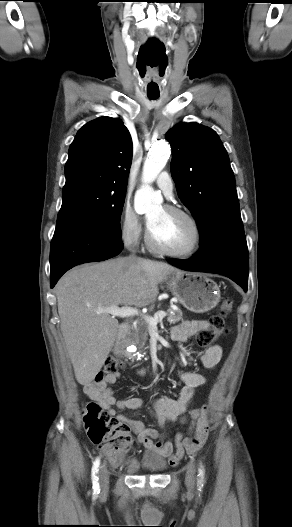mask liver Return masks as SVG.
Wrapping results in <instances>:
<instances>
[{
    "label": "liver",
    "instance_id": "6515ba94",
    "mask_svg": "<svg viewBox=\"0 0 292 527\" xmlns=\"http://www.w3.org/2000/svg\"><path fill=\"white\" fill-rule=\"evenodd\" d=\"M174 272L180 270L130 256L76 267L58 281L60 327L79 384L94 380L119 328L117 319L97 311L120 304L145 307L153 303L158 284Z\"/></svg>",
    "mask_w": 292,
    "mask_h": 527
}]
</instances>
